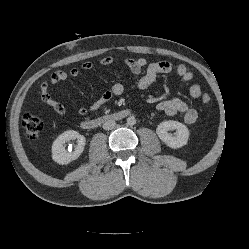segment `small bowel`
I'll use <instances>...</instances> for the list:
<instances>
[{
	"instance_id": "obj_1",
	"label": "small bowel",
	"mask_w": 249,
	"mask_h": 249,
	"mask_svg": "<svg viewBox=\"0 0 249 249\" xmlns=\"http://www.w3.org/2000/svg\"><path fill=\"white\" fill-rule=\"evenodd\" d=\"M117 59L113 56H107L101 60V64L104 66H109L114 64ZM125 66L131 71L132 75L136 78V87L140 90L148 89L152 84H154L161 74H167L172 70V66L168 62L160 61L149 64L146 72L143 76L138 77L141 70L146 65V60L139 59H125ZM82 69L85 71H91L94 69V64L92 62H85L82 65ZM177 74L179 76L180 83H187L192 80L193 73L190 68L185 65H179L177 67ZM81 75V70L79 68H72L69 72L57 71L54 72L50 77V83H43L41 85V99L42 101L50 106L56 113L63 115L66 113L65 106L56 101L49 93V85L55 87L60 82L68 81L70 78H78ZM124 92V86L121 83H115L111 88L107 89L101 98L95 101L91 106L90 110H96L105 102L109 101L113 96H119ZM200 87L198 85H193L190 88V94L192 97H198L200 95ZM156 109L166 113L169 116H176L181 114L183 120L186 124H193L198 118V113L195 109L189 108L187 104L178 97H172L169 99H155ZM87 110L85 108H80L78 110L79 114H85Z\"/></svg>"
}]
</instances>
